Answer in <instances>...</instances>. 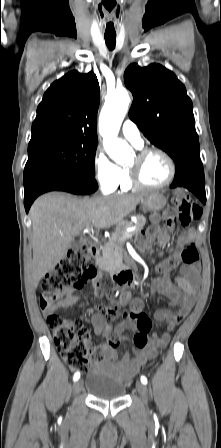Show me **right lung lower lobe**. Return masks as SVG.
I'll list each match as a JSON object with an SVG mask.
<instances>
[{
    "mask_svg": "<svg viewBox=\"0 0 221 448\" xmlns=\"http://www.w3.org/2000/svg\"><path fill=\"white\" fill-rule=\"evenodd\" d=\"M95 179L80 177L51 167H32L24 170V205L29 211L33 201L49 191H66L86 195L97 190Z\"/></svg>",
    "mask_w": 221,
    "mask_h": 448,
    "instance_id": "1",
    "label": "right lung lower lobe"
}]
</instances>
